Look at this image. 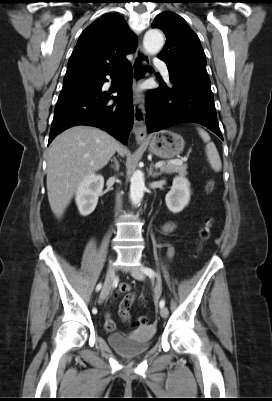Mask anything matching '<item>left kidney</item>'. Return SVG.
I'll return each mask as SVG.
<instances>
[{
  "mask_svg": "<svg viewBox=\"0 0 272 401\" xmlns=\"http://www.w3.org/2000/svg\"><path fill=\"white\" fill-rule=\"evenodd\" d=\"M190 183L185 176H177L173 179L171 190L166 194L167 208L173 213L181 212L190 201Z\"/></svg>",
  "mask_w": 272,
  "mask_h": 401,
  "instance_id": "left-kidney-1",
  "label": "left kidney"
}]
</instances>
